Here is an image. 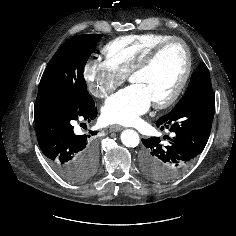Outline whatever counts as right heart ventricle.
Returning a JSON list of instances; mask_svg holds the SVG:
<instances>
[{
	"label": "right heart ventricle",
	"instance_id": "e07e8e85",
	"mask_svg": "<svg viewBox=\"0 0 236 236\" xmlns=\"http://www.w3.org/2000/svg\"><path fill=\"white\" fill-rule=\"evenodd\" d=\"M171 37L160 33L121 36L108 42L102 51L106 60L126 76L154 46Z\"/></svg>",
	"mask_w": 236,
	"mask_h": 236
}]
</instances>
